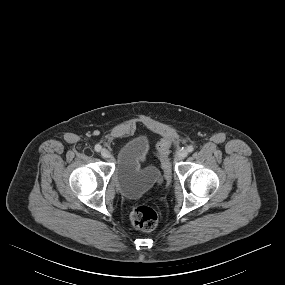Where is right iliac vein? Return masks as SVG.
<instances>
[{"label":"right iliac vein","instance_id":"obj_1","mask_svg":"<svg viewBox=\"0 0 285 285\" xmlns=\"http://www.w3.org/2000/svg\"><path fill=\"white\" fill-rule=\"evenodd\" d=\"M101 156H102L103 158H109V157H110V152H109L106 148H103V149L101 150Z\"/></svg>","mask_w":285,"mask_h":285}]
</instances>
